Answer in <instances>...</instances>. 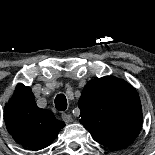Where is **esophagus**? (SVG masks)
<instances>
[{
	"mask_svg": "<svg viewBox=\"0 0 155 155\" xmlns=\"http://www.w3.org/2000/svg\"><path fill=\"white\" fill-rule=\"evenodd\" d=\"M62 119L66 123H71L73 121L72 116L70 114L63 113Z\"/></svg>",
	"mask_w": 155,
	"mask_h": 155,
	"instance_id": "esophagus-1",
	"label": "esophagus"
}]
</instances>
